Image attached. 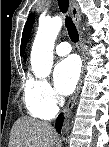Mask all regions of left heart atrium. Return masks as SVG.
<instances>
[{"mask_svg": "<svg viewBox=\"0 0 109 147\" xmlns=\"http://www.w3.org/2000/svg\"><path fill=\"white\" fill-rule=\"evenodd\" d=\"M79 62L71 56L59 62L54 69L53 79L56 90L62 95L70 94L79 79Z\"/></svg>", "mask_w": 109, "mask_h": 147, "instance_id": "39dd6f15", "label": "left heart atrium"}]
</instances>
